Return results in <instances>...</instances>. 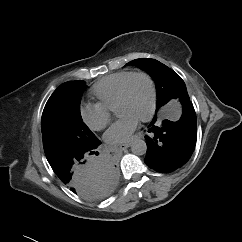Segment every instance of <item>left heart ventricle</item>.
I'll use <instances>...</instances> for the list:
<instances>
[{"label": "left heart ventricle", "mask_w": 242, "mask_h": 242, "mask_svg": "<svg viewBox=\"0 0 242 242\" xmlns=\"http://www.w3.org/2000/svg\"><path fill=\"white\" fill-rule=\"evenodd\" d=\"M150 99L151 93L148 81L144 77H136L131 81L127 98L116 109V114L119 117L129 114L140 119L147 113Z\"/></svg>", "instance_id": "left-heart-ventricle-1"}]
</instances>
